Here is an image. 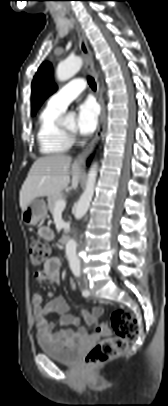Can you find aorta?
I'll use <instances>...</instances> for the list:
<instances>
[{
    "label": "aorta",
    "mask_w": 168,
    "mask_h": 406,
    "mask_svg": "<svg viewBox=\"0 0 168 406\" xmlns=\"http://www.w3.org/2000/svg\"><path fill=\"white\" fill-rule=\"evenodd\" d=\"M83 60L81 57L71 56L68 57L66 60L61 62L56 70L57 79L59 81H67L68 79L72 78L82 67ZM75 118L74 113H69L63 121L68 123L73 121ZM97 177V163L93 164L90 168L88 173L86 188L83 194L80 196L78 201L76 210H75V217L76 219L82 218L89 206L90 202L93 198L94 194V187L96 183ZM77 243L74 239H70L66 244V256L69 261L70 268L72 270H79L80 269V260L78 259L77 252Z\"/></svg>",
    "instance_id": "obj_1"
}]
</instances>
